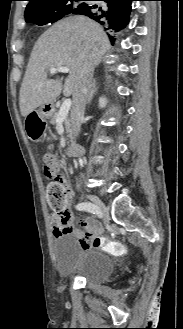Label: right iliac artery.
I'll return each instance as SVG.
<instances>
[{"instance_id":"1","label":"right iliac artery","mask_w":183,"mask_h":329,"mask_svg":"<svg viewBox=\"0 0 183 329\" xmlns=\"http://www.w3.org/2000/svg\"><path fill=\"white\" fill-rule=\"evenodd\" d=\"M76 209L79 210V211H87L89 213H93V214L97 215L100 218L102 217L100 211L98 210V208L90 202L79 203L76 206Z\"/></svg>"}]
</instances>
